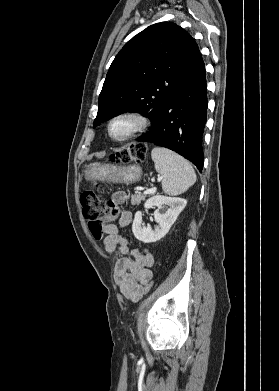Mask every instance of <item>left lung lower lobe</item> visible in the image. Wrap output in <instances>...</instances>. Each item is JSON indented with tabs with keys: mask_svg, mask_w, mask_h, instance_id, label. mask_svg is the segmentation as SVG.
<instances>
[{
	"mask_svg": "<svg viewBox=\"0 0 279 391\" xmlns=\"http://www.w3.org/2000/svg\"><path fill=\"white\" fill-rule=\"evenodd\" d=\"M206 111V75L201 58L190 76L166 102L151 130L137 140L169 148L202 171V136Z\"/></svg>",
	"mask_w": 279,
	"mask_h": 391,
	"instance_id": "obj_1",
	"label": "left lung lower lobe"
}]
</instances>
